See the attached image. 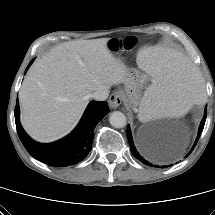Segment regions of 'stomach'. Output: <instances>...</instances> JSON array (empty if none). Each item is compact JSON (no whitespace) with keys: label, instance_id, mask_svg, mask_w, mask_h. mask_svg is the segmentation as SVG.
<instances>
[{"label":"stomach","instance_id":"0dacf381","mask_svg":"<svg viewBox=\"0 0 215 215\" xmlns=\"http://www.w3.org/2000/svg\"><path fill=\"white\" fill-rule=\"evenodd\" d=\"M143 82V75L135 69L127 68L123 80V94L129 104L134 106L138 100V93Z\"/></svg>","mask_w":215,"mask_h":215}]
</instances>
